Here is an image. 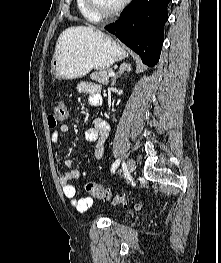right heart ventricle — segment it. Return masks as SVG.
Segmentation results:
<instances>
[{"instance_id": "obj_1", "label": "right heart ventricle", "mask_w": 221, "mask_h": 263, "mask_svg": "<svg viewBox=\"0 0 221 263\" xmlns=\"http://www.w3.org/2000/svg\"><path fill=\"white\" fill-rule=\"evenodd\" d=\"M76 6L80 14L89 21H97L98 19L90 13L85 7L83 0H76Z\"/></svg>"}]
</instances>
